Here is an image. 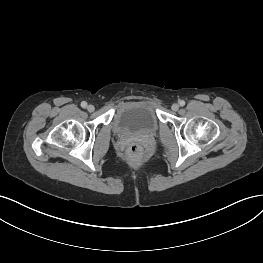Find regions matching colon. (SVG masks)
<instances>
[{
    "label": "colon",
    "mask_w": 263,
    "mask_h": 263,
    "mask_svg": "<svg viewBox=\"0 0 263 263\" xmlns=\"http://www.w3.org/2000/svg\"><path fill=\"white\" fill-rule=\"evenodd\" d=\"M125 155L129 163L138 164L143 159L144 150L140 144L132 142L126 146Z\"/></svg>",
    "instance_id": "5ec220e1"
}]
</instances>
